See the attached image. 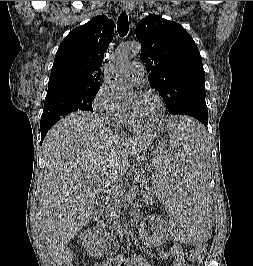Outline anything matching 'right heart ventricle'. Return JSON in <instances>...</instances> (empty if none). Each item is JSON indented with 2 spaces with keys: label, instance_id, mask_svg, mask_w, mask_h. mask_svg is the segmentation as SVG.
<instances>
[{
  "label": "right heart ventricle",
  "instance_id": "right-heart-ventricle-1",
  "mask_svg": "<svg viewBox=\"0 0 253 266\" xmlns=\"http://www.w3.org/2000/svg\"><path fill=\"white\" fill-rule=\"evenodd\" d=\"M122 124H126V121H124Z\"/></svg>",
  "mask_w": 253,
  "mask_h": 266
}]
</instances>
